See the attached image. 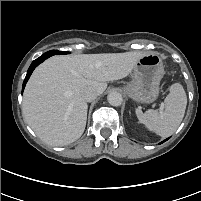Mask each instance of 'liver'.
<instances>
[{
	"label": "liver",
	"instance_id": "6515ba94",
	"mask_svg": "<svg viewBox=\"0 0 201 201\" xmlns=\"http://www.w3.org/2000/svg\"><path fill=\"white\" fill-rule=\"evenodd\" d=\"M140 52L54 56L31 75L23 95L22 113L36 135L46 144L64 146L84 132L87 88L101 95L108 81L128 76Z\"/></svg>",
	"mask_w": 201,
	"mask_h": 201
}]
</instances>
